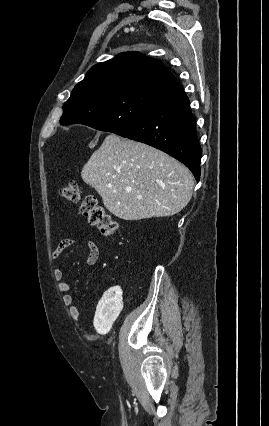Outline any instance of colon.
Wrapping results in <instances>:
<instances>
[{
    "mask_svg": "<svg viewBox=\"0 0 269 426\" xmlns=\"http://www.w3.org/2000/svg\"><path fill=\"white\" fill-rule=\"evenodd\" d=\"M60 196L65 201L78 204L80 214L87 219L90 225L98 228L102 235L113 236L117 234L118 223L99 204L95 196L87 195L82 197L74 180H69L62 185Z\"/></svg>",
    "mask_w": 269,
    "mask_h": 426,
    "instance_id": "5ec220e1",
    "label": "colon"
}]
</instances>
